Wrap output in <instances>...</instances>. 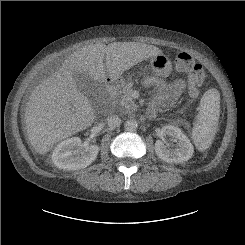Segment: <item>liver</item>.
Segmentation results:
<instances>
[{"instance_id":"obj_1","label":"liver","mask_w":245,"mask_h":245,"mask_svg":"<svg viewBox=\"0 0 245 245\" xmlns=\"http://www.w3.org/2000/svg\"><path fill=\"white\" fill-rule=\"evenodd\" d=\"M161 53L156 46L138 42L96 43L73 52L62 68L33 90L25 109L26 133L35 151L45 154L58 142L94 123V109L87 96L78 90L76 73L86 74L100 84L106 73L117 79Z\"/></svg>"}]
</instances>
